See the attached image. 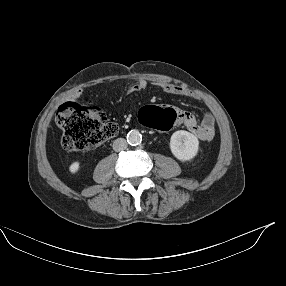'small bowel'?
<instances>
[{
	"label": "small bowel",
	"mask_w": 286,
	"mask_h": 286,
	"mask_svg": "<svg viewBox=\"0 0 286 286\" xmlns=\"http://www.w3.org/2000/svg\"><path fill=\"white\" fill-rule=\"evenodd\" d=\"M156 85L161 90L169 94L185 96L193 99H200V95L198 93L181 85L166 82H159ZM147 86L148 84L146 80L139 79L134 84L128 87L127 92H140L145 90ZM153 104L160 108H166L168 106V103L166 101L158 99H155L153 101ZM172 109L176 112L177 115V121L174 126L183 125L188 130L193 132L201 141H210L213 139L215 135V117L212 112L206 113L203 119L201 121H198L197 118L188 111L175 108Z\"/></svg>",
	"instance_id": "1"
}]
</instances>
